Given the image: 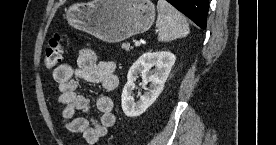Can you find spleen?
<instances>
[{
    "label": "spleen",
    "mask_w": 276,
    "mask_h": 145,
    "mask_svg": "<svg viewBox=\"0 0 276 145\" xmlns=\"http://www.w3.org/2000/svg\"><path fill=\"white\" fill-rule=\"evenodd\" d=\"M158 41L169 42L177 38L186 37L189 25L186 18L166 0H158Z\"/></svg>",
    "instance_id": "1"
}]
</instances>
